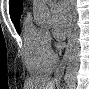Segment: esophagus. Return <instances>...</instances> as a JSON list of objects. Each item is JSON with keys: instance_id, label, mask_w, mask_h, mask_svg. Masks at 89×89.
Wrapping results in <instances>:
<instances>
[{"instance_id": "esophagus-1", "label": "esophagus", "mask_w": 89, "mask_h": 89, "mask_svg": "<svg viewBox=\"0 0 89 89\" xmlns=\"http://www.w3.org/2000/svg\"><path fill=\"white\" fill-rule=\"evenodd\" d=\"M66 4L68 5L69 2H66ZM68 10V15H69V27H68V35H67V45H66V49H65V53L63 55V58L60 62V65L55 73V78L56 79H60L61 77V73L64 71L69 57H70V51H71V41H72V18H71V8L68 5L67 7Z\"/></svg>"}]
</instances>
